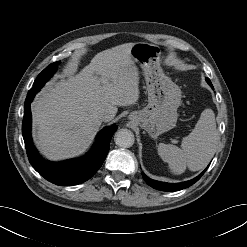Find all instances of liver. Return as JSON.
Here are the masks:
<instances>
[{
    "mask_svg": "<svg viewBox=\"0 0 247 247\" xmlns=\"http://www.w3.org/2000/svg\"><path fill=\"white\" fill-rule=\"evenodd\" d=\"M133 43L97 53L78 74L48 86L32 104L35 138L50 160L81 154L102 121L116 115L117 106L139 99V71L131 55Z\"/></svg>",
    "mask_w": 247,
    "mask_h": 247,
    "instance_id": "obj_1",
    "label": "liver"
}]
</instances>
